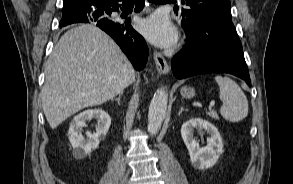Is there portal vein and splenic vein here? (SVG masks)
<instances>
[{
	"label": "portal vein and splenic vein",
	"mask_w": 293,
	"mask_h": 184,
	"mask_svg": "<svg viewBox=\"0 0 293 184\" xmlns=\"http://www.w3.org/2000/svg\"><path fill=\"white\" fill-rule=\"evenodd\" d=\"M214 105H215V102L211 101L210 104H209V109H211Z\"/></svg>",
	"instance_id": "obj_1"
}]
</instances>
